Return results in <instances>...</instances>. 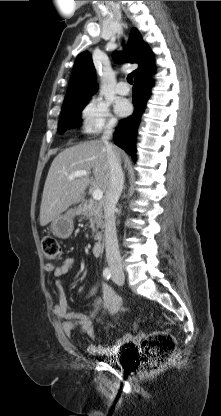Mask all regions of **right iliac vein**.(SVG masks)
I'll return each instance as SVG.
<instances>
[{"instance_id": "63e3f726", "label": "right iliac vein", "mask_w": 221, "mask_h": 416, "mask_svg": "<svg viewBox=\"0 0 221 416\" xmlns=\"http://www.w3.org/2000/svg\"><path fill=\"white\" fill-rule=\"evenodd\" d=\"M113 272H114V275L117 279L124 280V275L120 271L114 270Z\"/></svg>"}]
</instances>
